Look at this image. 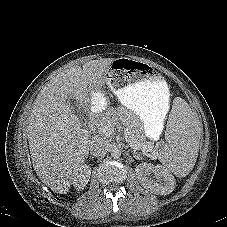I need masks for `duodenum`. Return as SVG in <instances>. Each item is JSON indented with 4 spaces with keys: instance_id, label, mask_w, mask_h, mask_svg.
I'll return each instance as SVG.
<instances>
[{
    "instance_id": "duodenum-1",
    "label": "duodenum",
    "mask_w": 227,
    "mask_h": 227,
    "mask_svg": "<svg viewBox=\"0 0 227 227\" xmlns=\"http://www.w3.org/2000/svg\"><path fill=\"white\" fill-rule=\"evenodd\" d=\"M98 119H99V115L98 114L92 115L90 117V120H89L90 125L94 126L97 123Z\"/></svg>"
}]
</instances>
